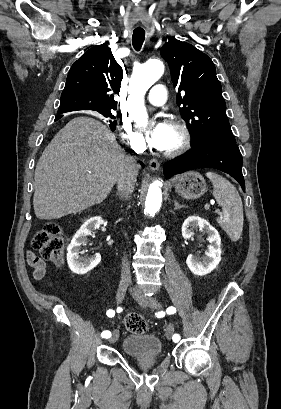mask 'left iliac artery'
<instances>
[{
	"label": "left iliac artery",
	"mask_w": 281,
	"mask_h": 409,
	"mask_svg": "<svg viewBox=\"0 0 281 409\" xmlns=\"http://www.w3.org/2000/svg\"><path fill=\"white\" fill-rule=\"evenodd\" d=\"M166 311L168 314H174L176 312V309L171 306V307H168ZM172 339L174 342H178L180 340V336L178 334H174Z\"/></svg>",
	"instance_id": "1"
}]
</instances>
